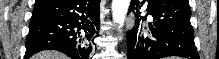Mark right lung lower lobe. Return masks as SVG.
Instances as JSON below:
<instances>
[{
  "label": "right lung lower lobe",
  "instance_id": "obj_1",
  "mask_svg": "<svg viewBox=\"0 0 219 59\" xmlns=\"http://www.w3.org/2000/svg\"><path fill=\"white\" fill-rule=\"evenodd\" d=\"M24 59L53 49L72 59H89L100 26V0L36 1Z\"/></svg>",
  "mask_w": 219,
  "mask_h": 59
}]
</instances>
